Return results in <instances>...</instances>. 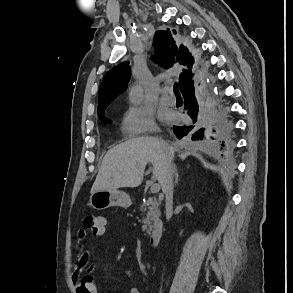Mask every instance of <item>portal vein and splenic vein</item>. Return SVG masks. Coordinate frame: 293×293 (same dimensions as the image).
Returning a JSON list of instances; mask_svg holds the SVG:
<instances>
[{"instance_id": "18ae733b", "label": "portal vein and splenic vein", "mask_w": 293, "mask_h": 293, "mask_svg": "<svg viewBox=\"0 0 293 293\" xmlns=\"http://www.w3.org/2000/svg\"><path fill=\"white\" fill-rule=\"evenodd\" d=\"M151 192L152 193H158L159 192V190H160V185L159 184H157V183H155V184H153L152 186H151Z\"/></svg>"}]
</instances>
